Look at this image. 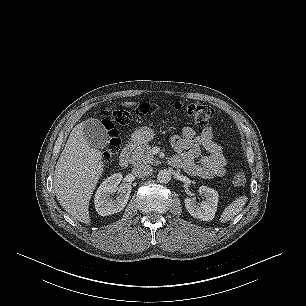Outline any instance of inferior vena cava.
Here are the masks:
<instances>
[{
    "instance_id": "obj_1",
    "label": "inferior vena cava",
    "mask_w": 306,
    "mask_h": 306,
    "mask_svg": "<svg viewBox=\"0 0 306 306\" xmlns=\"http://www.w3.org/2000/svg\"><path fill=\"white\" fill-rule=\"evenodd\" d=\"M152 171L153 168L149 165H139L132 170L133 174L138 178L147 177L151 175Z\"/></svg>"
}]
</instances>
